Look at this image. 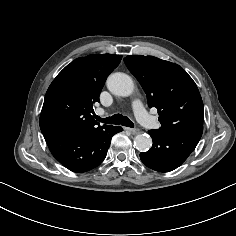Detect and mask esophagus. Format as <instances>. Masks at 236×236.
I'll return each instance as SVG.
<instances>
[{
	"mask_svg": "<svg viewBox=\"0 0 236 236\" xmlns=\"http://www.w3.org/2000/svg\"><path fill=\"white\" fill-rule=\"evenodd\" d=\"M125 130H127L129 133L131 134H136L138 132V129L136 128H128V127H125Z\"/></svg>",
	"mask_w": 236,
	"mask_h": 236,
	"instance_id": "1",
	"label": "esophagus"
}]
</instances>
